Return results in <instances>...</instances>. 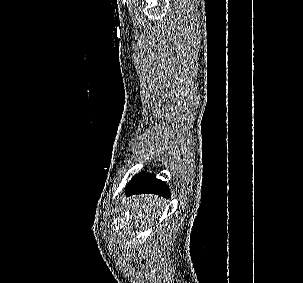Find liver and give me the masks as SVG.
Returning <instances> with one entry per match:
<instances>
[{
  "instance_id": "liver-1",
  "label": "liver",
  "mask_w": 303,
  "mask_h": 283,
  "mask_svg": "<svg viewBox=\"0 0 303 283\" xmlns=\"http://www.w3.org/2000/svg\"><path fill=\"white\" fill-rule=\"evenodd\" d=\"M163 200L154 195H142L132 196L130 204L128 205L129 221L136 227L141 224L145 227L146 222L151 224L160 213L159 208L161 207Z\"/></svg>"
}]
</instances>
